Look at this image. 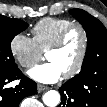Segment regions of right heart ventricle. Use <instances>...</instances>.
I'll return each mask as SVG.
<instances>
[{
	"label": "right heart ventricle",
	"instance_id": "right-heart-ventricle-1",
	"mask_svg": "<svg viewBox=\"0 0 107 107\" xmlns=\"http://www.w3.org/2000/svg\"><path fill=\"white\" fill-rule=\"evenodd\" d=\"M72 23L68 18H43L32 28L33 39L41 51L47 50L61 31Z\"/></svg>",
	"mask_w": 107,
	"mask_h": 107
}]
</instances>
